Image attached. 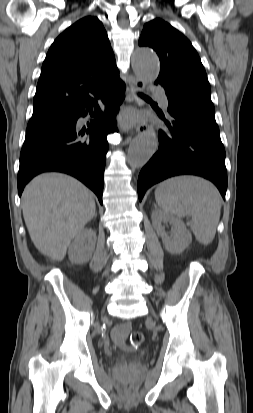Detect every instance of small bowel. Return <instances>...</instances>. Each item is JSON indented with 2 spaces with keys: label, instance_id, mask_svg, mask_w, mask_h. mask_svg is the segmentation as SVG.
<instances>
[{
  "label": "small bowel",
  "instance_id": "1",
  "mask_svg": "<svg viewBox=\"0 0 253 413\" xmlns=\"http://www.w3.org/2000/svg\"><path fill=\"white\" fill-rule=\"evenodd\" d=\"M130 331H131L130 323L116 325L114 326L111 332L112 340L119 347H123L125 346V343H126V340H127V337Z\"/></svg>",
  "mask_w": 253,
  "mask_h": 413
}]
</instances>
